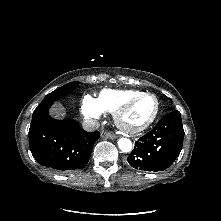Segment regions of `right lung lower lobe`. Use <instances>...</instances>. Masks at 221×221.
<instances>
[{
  "mask_svg": "<svg viewBox=\"0 0 221 221\" xmlns=\"http://www.w3.org/2000/svg\"><path fill=\"white\" fill-rule=\"evenodd\" d=\"M53 102L39 104L33 112L29 129L31 153L38 163L58 172L84 168L100 133L86 132L74 119L51 118L48 109Z\"/></svg>",
  "mask_w": 221,
  "mask_h": 221,
  "instance_id": "1",
  "label": "right lung lower lobe"
}]
</instances>
